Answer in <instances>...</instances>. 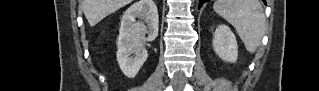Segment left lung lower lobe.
I'll list each match as a JSON object with an SVG mask.
<instances>
[{
  "mask_svg": "<svg viewBox=\"0 0 319 91\" xmlns=\"http://www.w3.org/2000/svg\"><path fill=\"white\" fill-rule=\"evenodd\" d=\"M206 0H199V8L202 6V4L205 2ZM264 3H266V0H262Z\"/></svg>",
  "mask_w": 319,
  "mask_h": 91,
  "instance_id": "0a47b994",
  "label": "left lung lower lobe"
}]
</instances>
